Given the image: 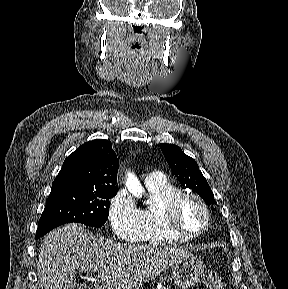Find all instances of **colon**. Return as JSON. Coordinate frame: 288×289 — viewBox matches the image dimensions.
I'll list each match as a JSON object with an SVG mask.
<instances>
[{"instance_id":"colon-1","label":"colon","mask_w":288,"mask_h":289,"mask_svg":"<svg viewBox=\"0 0 288 289\" xmlns=\"http://www.w3.org/2000/svg\"><path fill=\"white\" fill-rule=\"evenodd\" d=\"M204 284L206 289H226V283L224 279L213 270H208L205 272Z\"/></svg>"}]
</instances>
